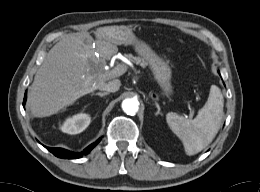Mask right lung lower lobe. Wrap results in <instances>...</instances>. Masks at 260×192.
<instances>
[{
  "instance_id": "98d812e1",
  "label": "right lung lower lobe",
  "mask_w": 260,
  "mask_h": 192,
  "mask_svg": "<svg viewBox=\"0 0 260 192\" xmlns=\"http://www.w3.org/2000/svg\"><path fill=\"white\" fill-rule=\"evenodd\" d=\"M25 102H26V93H25V96H24L23 105L25 104ZM100 140H101V138L98 139L96 142L92 143L91 145H89L81 153L70 152V151L63 149V148L46 147V149L49 150L51 153H53L55 156H57L59 158L76 159V158L82 157V155L88 154L100 142Z\"/></svg>"
}]
</instances>
